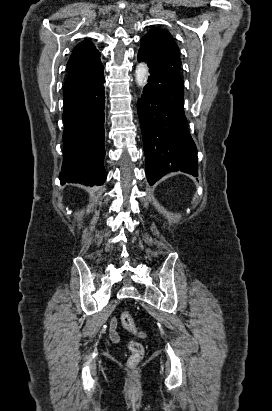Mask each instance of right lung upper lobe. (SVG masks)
<instances>
[{"label": "right lung upper lobe", "instance_id": "obj_1", "mask_svg": "<svg viewBox=\"0 0 272 411\" xmlns=\"http://www.w3.org/2000/svg\"><path fill=\"white\" fill-rule=\"evenodd\" d=\"M67 70L63 96L83 91L99 81L104 67L99 51L90 40H83L75 46L67 63Z\"/></svg>", "mask_w": 272, "mask_h": 411}]
</instances>
